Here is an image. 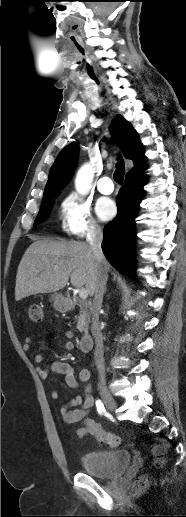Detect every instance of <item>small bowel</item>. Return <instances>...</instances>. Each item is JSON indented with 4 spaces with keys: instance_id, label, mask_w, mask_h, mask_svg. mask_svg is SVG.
<instances>
[{
    "instance_id": "small-bowel-1",
    "label": "small bowel",
    "mask_w": 186,
    "mask_h": 517,
    "mask_svg": "<svg viewBox=\"0 0 186 517\" xmlns=\"http://www.w3.org/2000/svg\"><path fill=\"white\" fill-rule=\"evenodd\" d=\"M65 336L69 340L63 343V349L71 351L75 348L71 332H66ZM34 340L32 335L25 337L23 349L29 351ZM34 361L37 365V371L42 378H46L50 372L62 374L65 383L70 388H78L81 384H86L84 395H77L71 398L67 403L62 405L59 409L63 421L67 424L81 423V426L75 431V438L81 439L88 435H94L98 439V429H102L100 425L94 421L85 419L90 410L94 406V398L92 396V389L89 385L91 372L88 368H82L78 375H75L73 367L64 361H54L50 365L45 364V357L41 354L34 356ZM53 400H58L60 395L56 390L51 391ZM103 430V429H102Z\"/></svg>"
}]
</instances>
